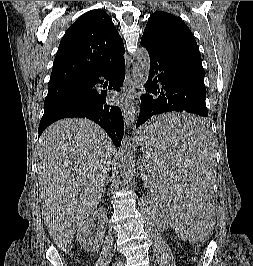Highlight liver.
Segmentation results:
<instances>
[{
  "label": "liver",
  "mask_w": 253,
  "mask_h": 266,
  "mask_svg": "<svg viewBox=\"0 0 253 266\" xmlns=\"http://www.w3.org/2000/svg\"><path fill=\"white\" fill-rule=\"evenodd\" d=\"M114 153L106 132L87 119L57 121L39 139L42 215L49 235L65 253L77 228L101 201Z\"/></svg>",
  "instance_id": "obj_1"
}]
</instances>
